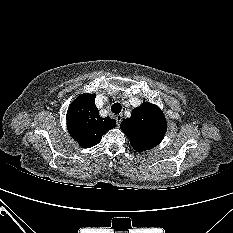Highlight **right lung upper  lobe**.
<instances>
[{"label":"right lung upper lobe","instance_id":"1","mask_svg":"<svg viewBox=\"0 0 233 233\" xmlns=\"http://www.w3.org/2000/svg\"><path fill=\"white\" fill-rule=\"evenodd\" d=\"M95 94L77 97L67 111V129L83 148L97 145L102 136L116 126L114 119L102 118L95 105Z\"/></svg>","mask_w":233,"mask_h":233}]
</instances>
